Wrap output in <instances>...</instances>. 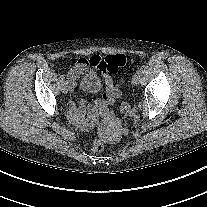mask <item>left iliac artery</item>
Wrapping results in <instances>:
<instances>
[{"mask_svg": "<svg viewBox=\"0 0 207 207\" xmlns=\"http://www.w3.org/2000/svg\"><path fill=\"white\" fill-rule=\"evenodd\" d=\"M137 74H142L143 73V69L142 68H138V70L136 71Z\"/></svg>", "mask_w": 207, "mask_h": 207, "instance_id": "left-iliac-artery-1", "label": "left iliac artery"}]
</instances>
